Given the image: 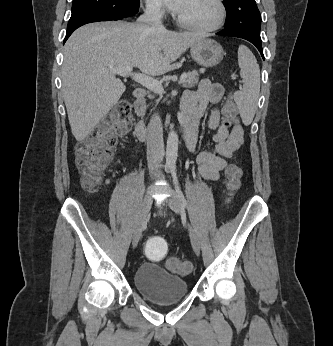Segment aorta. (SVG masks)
Masks as SVG:
<instances>
[{
    "mask_svg": "<svg viewBox=\"0 0 333 346\" xmlns=\"http://www.w3.org/2000/svg\"><path fill=\"white\" fill-rule=\"evenodd\" d=\"M178 135L174 130L168 134L166 147V164L169 168H174L178 156Z\"/></svg>",
    "mask_w": 333,
    "mask_h": 346,
    "instance_id": "aorta-1",
    "label": "aorta"
}]
</instances>
